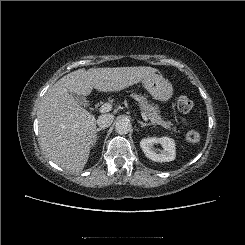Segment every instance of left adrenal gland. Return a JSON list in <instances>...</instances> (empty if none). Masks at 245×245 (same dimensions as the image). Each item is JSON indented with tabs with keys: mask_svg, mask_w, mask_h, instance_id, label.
Segmentation results:
<instances>
[{
	"mask_svg": "<svg viewBox=\"0 0 245 245\" xmlns=\"http://www.w3.org/2000/svg\"><path fill=\"white\" fill-rule=\"evenodd\" d=\"M138 123L141 124V127H145V126H150V123H144L143 121H138Z\"/></svg>",
	"mask_w": 245,
	"mask_h": 245,
	"instance_id": "a2214340",
	"label": "left adrenal gland"
}]
</instances>
